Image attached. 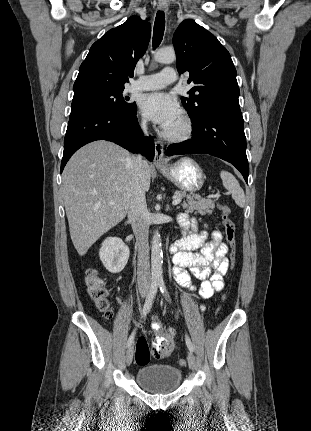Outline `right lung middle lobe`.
Wrapping results in <instances>:
<instances>
[{"label": "right lung middle lobe", "instance_id": "obj_1", "mask_svg": "<svg viewBox=\"0 0 311 431\" xmlns=\"http://www.w3.org/2000/svg\"><path fill=\"white\" fill-rule=\"evenodd\" d=\"M121 91L88 90L74 93L71 113L83 109L98 108L120 113H132L136 110L135 102H127L129 97H123Z\"/></svg>", "mask_w": 311, "mask_h": 431}]
</instances>
